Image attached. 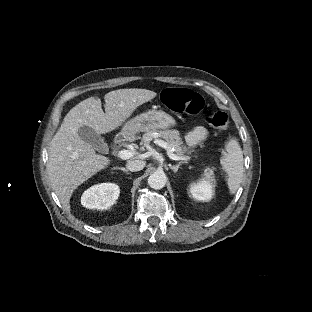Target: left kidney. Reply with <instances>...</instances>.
Returning a JSON list of instances; mask_svg holds the SVG:
<instances>
[{
	"instance_id": "obj_1",
	"label": "left kidney",
	"mask_w": 312,
	"mask_h": 312,
	"mask_svg": "<svg viewBox=\"0 0 312 312\" xmlns=\"http://www.w3.org/2000/svg\"><path fill=\"white\" fill-rule=\"evenodd\" d=\"M191 195L197 201H209L213 195L212 186L202 182L191 188Z\"/></svg>"
}]
</instances>
